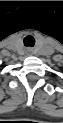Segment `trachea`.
Listing matches in <instances>:
<instances>
[{
  "mask_svg": "<svg viewBox=\"0 0 63 123\" xmlns=\"http://www.w3.org/2000/svg\"><path fill=\"white\" fill-rule=\"evenodd\" d=\"M23 42H24V45H25L26 47H33L34 44H35V39H34V37L31 36V35H27V36H25Z\"/></svg>",
  "mask_w": 63,
  "mask_h": 123,
  "instance_id": "3493384b",
  "label": "trachea"
}]
</instances>
